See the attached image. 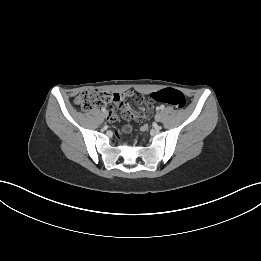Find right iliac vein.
<instances>
[{
    "label": "right iliac vein",
    "mask_w": 261,
    "mask_h": 261,
    "mask_svg": "<svg viewBox=\"0 0 261 261\" xmlns=\"http://www.w3.org/2000/svg\"><path fill=\"white\" fill-rule=\"evenodd\" d=\"M103 115H104V117H107V116H108V113L105 111V112L103 113Z\"/></svg>",
    "instance_id": "right-iliac-vein-1"
}]
</instances>
